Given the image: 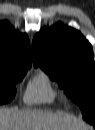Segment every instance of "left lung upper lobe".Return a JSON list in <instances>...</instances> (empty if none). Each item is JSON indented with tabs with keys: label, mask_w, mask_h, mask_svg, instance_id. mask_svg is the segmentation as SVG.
<instances>
[{
	"label": "left lung upper lobe",
	"mask_w": 95,
	"mask_h": 130,
	"mask_svg": "<svg viewBox=\"0 0 95 130\" xmlns=\"http://www.w3.org/2000/svg\"><path fill=\"white\" fill-rule=\"evenodd\" d=\"M34 66H40L72 97L83 118L95 123V65L90 43L60 23L45 28L33 40Z\"/></svg>",
	"instance_id": "1"
}]
</instances>
